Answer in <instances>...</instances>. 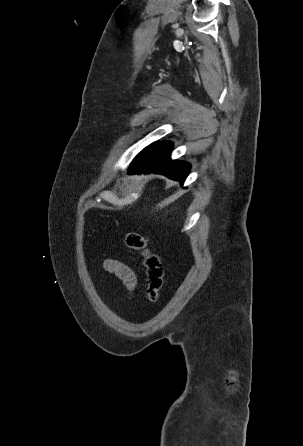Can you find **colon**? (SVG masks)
Here are the masks:
<instances>
[{
	"label": "colon",
	"instance_id": "5ec220e1",
	"mask_svg": "<svg viewBox=\"0 0 303 446\" xmlns=\"http://www.w3.org/2000/svg\"><path fill=\"white\" fill-rule=\"evenodd\" d=\"M126 246L140 254L146 272L147 298L156 302L163 285L164 269L160 257L151 251L147 239L136 232H128L125 236Z\"/></svg>",
	"mask_w": 303,
	"mask_h": 446
}]
</instances>
